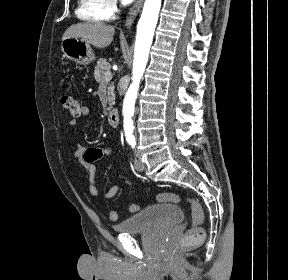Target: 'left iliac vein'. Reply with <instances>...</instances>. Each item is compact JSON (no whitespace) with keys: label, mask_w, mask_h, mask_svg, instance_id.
Segmentation results:
<instances>
[{"label":"left iliac vein","mask_w":288,"mask_h":280,"mask_svg":"<svg viewBox=\"0 0 288 280\" xmlns=\"http://www.w3.org/2000/svg\"><path fill=\"white\" fill-rule=\"evenodd\" d=\"M135 167L137 170H143L144 166L143 164L138 160L137 155L135 157V161H134Z\"/></svg>","instance_id":"obj_1"}]
</instances>
